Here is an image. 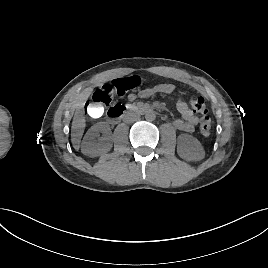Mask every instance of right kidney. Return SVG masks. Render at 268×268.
<instances>
[{
  "mask_svg": "<svg viewBox=\"0 0 268 268\" xmlns=\"http://www.w3.org/2000/svg\"><path fill=\"white\" fill-rule=\"evenodd\" d=\"M100 132L103 133L102 137H99ZM111 148L110 127L103 122L93 125L87 131L81 143L82 153L90 157L99 156L108 152Z\"/></svg>",
  "mask_w": 268,
  "mask_h": 268,
  "instance_id": "1",
  "label": "right kidney"
}]
</instances>
